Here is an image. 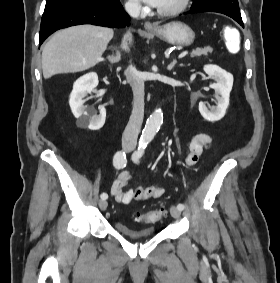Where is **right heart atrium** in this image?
<instances>
[{"label":"right heart atrium","instance_id":"obj_1","mask_svg":"<svg viewBox=\"0 0 280 283\" xmlns=\"http://www.w3.org/2000/svg\"><path fill=\"white\" fill-rule=\"evenodd\" d=\"M125 9L132 15H138L142 11V7L135 0L127 1Z\"/></svg>","mask_w":280,"mask_h":283}]
</instances>
